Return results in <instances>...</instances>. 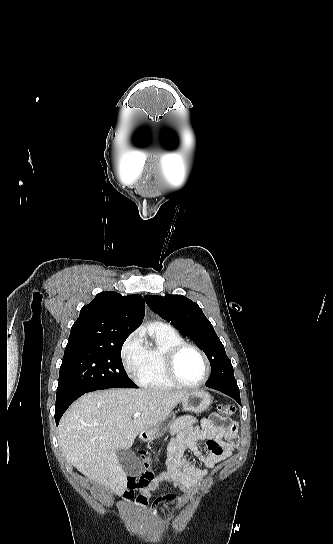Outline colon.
Wrapping results in <instances>:
<instances>
[{
	"instance_id": "1",
	"label": "colon",
	"mask_w": 333,
	"mask_h": 544,
	"mask_svg": "<svg viewBox=\"0 0 333 544\" xmlns=\"http://www.w3.org/2000/svg\"><path fill=\"white\" fill-rule=\"evenodd\" d=\"M218 411L224 416H231L235 413V407L230 404H222L218 407ZM140 455L145 470L139 476L128 478L127 491L124 494L125 499H132L135 490L146 488L154 480L152 462L146 450H140Z\"/></svg>"
}]
</instances>
